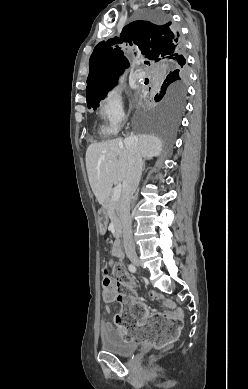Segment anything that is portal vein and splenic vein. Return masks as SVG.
I'll return each mask as SVG.
<instances>
[{
  "label": "portal vein and splenic vein",
  "instance_id": "1",
  "mask_svg": "<svg viewBox=\"0 0 248 389\" xmlns=\"http://www.w3.org/2000/svg\"><path fill=\"white\" fill-rule=\"evenodd\" d=\"M122 185H117L113 190V200H119L121 196Z\"/></svg>",
  "mask_w": 248,
  "mask_h": 389
}]
</instances>
